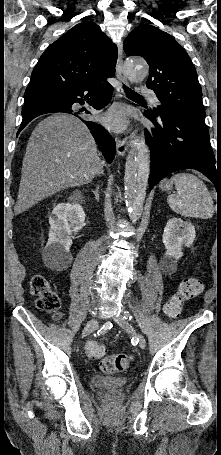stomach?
<instances>
[{
    "label": "stomach",
    "mask_w": 221,
    "mask_h": 455,
    "mask_svg": "<svg viewBox=\"0 0 221 455\" xmlns=\"http://www.w3.org/2000/svg\"><path fill=\"white\" fill-rule=\"evenodd\" d=\"M159 187H160V189L162 191H167V190H170L172 188V183L169 180H163L160 183Z\"/></svg>",
    "instance_id": "stomach-1"
}]
</instances>
